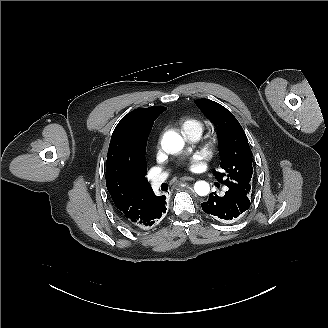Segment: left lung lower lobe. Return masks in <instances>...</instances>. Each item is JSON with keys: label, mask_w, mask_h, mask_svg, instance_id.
<instances>
[{"label": "left lung lower lobe", "mask_w": 328, "mask_h": 328, "mask_svg": "<svg viewBox=\"0 0 328 328\" xmlns=\"http://www.w3.org/2000/svg\"><path fill=\"white\" fill-rule=\"evenodd\" d=\"M250 206L247 196L229 189L223 197L211 193L207 202L201 204L205 213L222 222L235 220Z\"/></svg>", "instance_id": "1"}]
</instances>
